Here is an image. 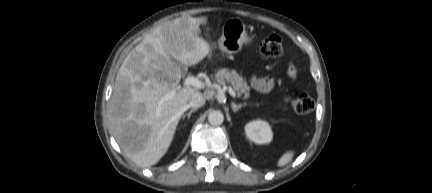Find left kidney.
<instances>
[{
	"instance_id": "1",
	"label": "left kidney",
	"mask_w": 432,
	"mask_h": 193,
	"mask_svg": "<svg viewBox=\"0 0 432 193\" xmlns=\"http://www.w3.org/2000/svg\"><path fill=\"white\" fill-rule=\"evenodd\" d=\"M245 133L248 139L256 144L270 143L273 138L270 125L263 120H254L246 124Z\"/></svg>"
}]
</instances>
